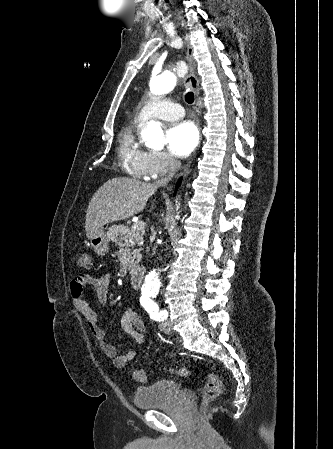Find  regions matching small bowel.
Listing matches in <instances>:
<instances>
[{"label": "small bowel", "instance_id": "c3829d8e", "mask_svg": "<svg viewBox=\"0 0 333 449\" xmlns=\"http://www.w3.org/2000/svg\"><path fill=\"white\" fill-rule=\"evenodd\" d=\"M110 276L102 274L93 277L88 273L77 275L71 282L70 293L76 310L81 314L92 336L95 338L101 351L110 359L116 367H124L135 356L130 350L124 354H118L116 349L108 342L104 330L100 327L98 318L90 303L86 299L87 287L94 289L99 303L105 304L108 300V287ZM120 326L132 337L137 345H143L146 340V325L143 318L136 311L128 309L120 320Z\"/></svg>", "mask_w": 333, "mask_h": 449}]
</instances>
